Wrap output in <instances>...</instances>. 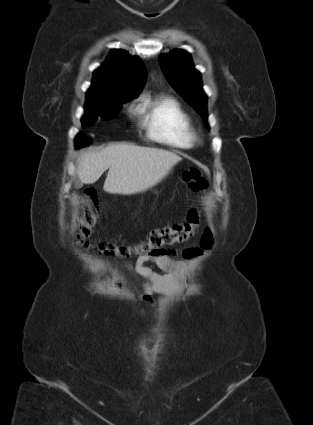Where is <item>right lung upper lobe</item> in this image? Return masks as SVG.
I'll use <instances>...</instances> for the list:
<instances>
[{"label":"right lung upper lobe","mask_w":313,"mask_h":425,"mask_svg":"<svg viewBox=\"0 0 313 425\" xmlns=\"http://www.w3.org/2000/svg\"><path fill=\"white\" fill-rule=\"evenodd\" d=\"M146 68L138 57L121 49L113 50L104 65L94 71L86 102L112 95L136 98L146 81Z\"/></svg>","instance_id":"cb5924a9"}]
</instances>
